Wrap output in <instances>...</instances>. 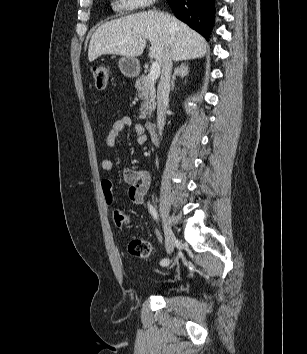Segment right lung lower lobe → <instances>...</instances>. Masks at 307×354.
I'll return each instance as SVG.
<instances>
[{
    "label": "right lung lower lobe",
    "instance_id": "98d812e1",
    "mask_svg": "<svg viewBox=\"0 0 307 354\" xmlns=\"http://www.w3.org/2000/svg\"><path fill=\"white\" fill-rule=\"evenodd\" d=\"M177 18L206 39L214 24L215 0H167Z\"/></svg>",
    "mask_w": 307,
    "mask_h": 354
}]
</instances>
